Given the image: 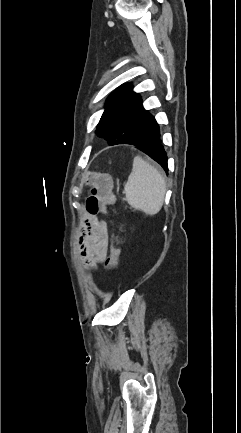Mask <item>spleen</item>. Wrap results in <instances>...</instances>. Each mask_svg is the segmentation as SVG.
Returning <instances> with one entry per match:
<instances>
[{"label": "spleen", "mask_w": 241, "mask_h": 433, "mask_svg": "<svg viewBox=\"0 0 241 433\" xmlns=\"http://www.w3.org/2000/svg\"><path fill=\"white\" fill-rule=\"evenodd\" d=\"M124 192L131 207L153 216L162 208L166 182L154 166L136 156Z\"/></svg>", "instance_id": "1"}]
</instances>
